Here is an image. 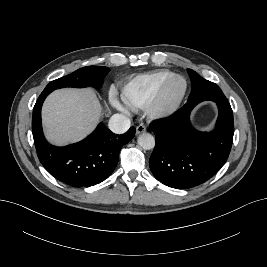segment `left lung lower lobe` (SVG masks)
Segmentation results:
<instances>
[{"label":"left lung lower lobe","mask_w":267,"mask_h":267,"mask_svg":"<svg viewBox=\"0 0 267 267\" xmlns=\"http://www.w3.org/2000/svg\"><path fill=\"white\" fill-rule=\"evenodd\" d=\"M214 101L219 109L215 130L199 132L190 123L192 109L202 101ZM155 148L149 166L157 180L176 189H189L215 175L225 164L233 141V112L226 97L214 90L195 94L171 116L153 121Z\"/></svg>","instance_id":"0a47b994"}]
</instances>
